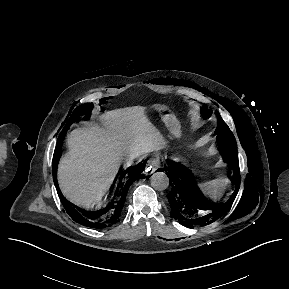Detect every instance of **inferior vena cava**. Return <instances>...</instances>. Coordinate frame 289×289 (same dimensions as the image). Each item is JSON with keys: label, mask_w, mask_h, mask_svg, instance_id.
<instances>
[{"label": "inferior vena cava", "mask_w": 289, "mask_h": 289, "mask_svg": "<svg viewBox=\"0 0 289 289\" xmlns=\"http://www.w3.org/2000/svg\"><path fill=\"white\" fill-rule=\"evenodd\" d=\"M134 159H135L134 157L130 158V159H129V162H130V163H134Z\"/></svg>", "instance_id": "1"}]
</instances>
